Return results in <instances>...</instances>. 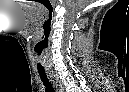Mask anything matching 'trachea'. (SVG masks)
<instances>
[{"label": "trachea", "instance_id": "3493384b", "mask_svg": "<svg viewBox=\"0 0 129 92\" xmlns=\"http://www.w3.org/2000/svg\"><path fill=\"white\" fill-rule=\"evenodd\" d=\"M40 79L45 87L46 92H55L54 88L52 87V84L50 83L46 73L44 71H38Z\"/></svg>", "mask_w": 129, "mask_h": 92}]
</instances>
